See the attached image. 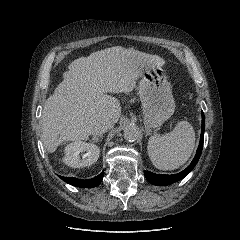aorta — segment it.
<instances>
[{
    "mask_svg": "<svg viewBox=\"0 0 240 240\" xmlns=\"http://www.w3.org/2000/svg\"><path fill=\"white\" fill-rule=\"evenodd\" d=\"M140 135L139 128L135 125H129L124 129V139L128 142H134Z\"/></svg>",
    "mask_w": 240,
    "mask_h": 240,
    "instance_id": "762f6f07",
    "label": "aorta"
}]
</instances>
